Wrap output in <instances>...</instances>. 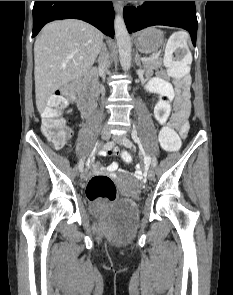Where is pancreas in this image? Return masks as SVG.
Returning a JSON list of instances; mask_svg holds the SVG:
<instances>
[{"mask_svg": "<svg viewBox=\"0 0 233 295\" xmlns=\"http://www.w3.org/2000/svg\"><path fill=\"white\" fill-rule=\"evenodd\" d=\"M162 66V59L157 58L151 61L143 62L144 70L146 71V77L151 76L153 74V70H158Z\"/></svg>", "mask_w": 233, "mask_h": 295, "instance_id": "pancreas-1", "label": "pancreas"}]
</instances>
